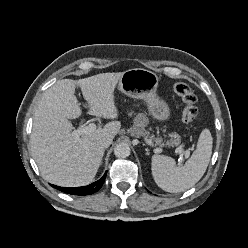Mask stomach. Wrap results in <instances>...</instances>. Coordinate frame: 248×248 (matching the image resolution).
Instances as JSON below:
<instances>
[{
    "label": "stomach",
    "instance_id": "obj_1",
    "mask_svg": "<svg viewBox=\"0 0 248 248\" xmlns=\"http://www.w3.org/2000/svg\"><path fill=\"white\" fill-rule=\"evenodd\" d=\"M158 81V76L154 72L134 68L123 72L118 88L129 97L144 100L152 117L164 121L170 117V108L167 102L156 93ZM138 123L139 121L136 120L137 125Z\"/></svg>",
    "mask_w": 248,
    "mask_h": 248
}]
</instances>
